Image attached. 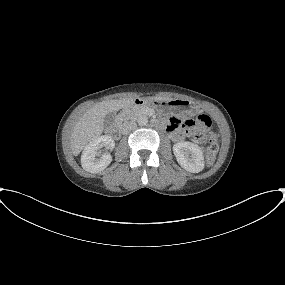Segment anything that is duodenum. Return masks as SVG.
<instances>
[{"label":"duodenum","instance_id":"1","mask_svg":"<svg viewBox=\"0 0 285 285\" xmlns=\"http://www.w3.org/2000/svg\"><path fill=\"white\" fill-rule=\"evenodd\" d=\"M130 103L135 106H143L146 104V100L141 98H136L132 100ZM120 132H121V125L119 123L114 124L113 127L111 128V133L117 135Z\"/></svg>","mask_w":285,"mask_h":285}]
</instances>
